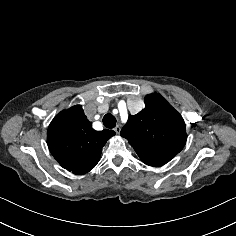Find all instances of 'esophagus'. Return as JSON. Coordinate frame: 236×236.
<instances>
[{
  "label": "esophagus",
  "instance_id": "34e87169",
  "mask_svg": "<svg viewBox=\"0 0 236 236\" xmlns=\"http://www.w3.org/2000/svg\"><path fill=\"white\" fill-rule=\"evenodd\" d=\"M114 131L119 134L120 131H121V128L117 125L115 128H114Z\"/></svg>",
  "mask_w": 236,
  "mask_h": 236
}]
</instances>
